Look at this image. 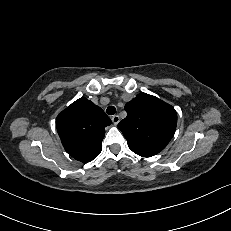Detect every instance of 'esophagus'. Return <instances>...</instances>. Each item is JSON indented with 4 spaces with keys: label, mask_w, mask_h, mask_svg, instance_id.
<instances>
[{
    "label": "esophagus",
    "mask_w": 231,
    "mask_h": 231,
    "mask_svg": "<svg viewBox=\"0 0 231 231\" xmlns=\"http://www.w3.org/2000/svg\"><path fill=\"white\" fill-rule=\"evenodd\" d=\"M111 120H112L113 124L117 125L119 123V121H120V118H119L118 115H113L111 117Z\"/></svg>",
    "instance_id": "1"
}]
</instances>
